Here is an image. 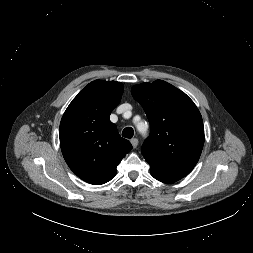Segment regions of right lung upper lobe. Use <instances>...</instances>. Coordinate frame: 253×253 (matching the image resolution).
I'll return each mask as SVG.
<instances>
[{
	"label": "right lung upper lobe",
	"mask_w": 253,
	"mask_h": 253,
	"mask_svg": "<svg viewBox=\"0 0 253 253\" xmlns=\"http://www.w3.org/2000/svg\"><path fill=\"white\" fill-rule=\"evenodd\" d=\"M123 88L116 81H92L72 100L61 119L63 157L73 173L87 183L100 185L110 181L120 161L132 149L110 121Z\"/></svg>",
	"instance_id": "cb5924a9"
}]
</instances>
